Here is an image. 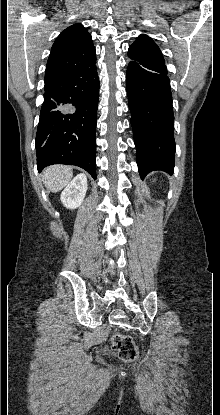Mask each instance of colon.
Returning a JSON list of instances; mask_svg holds the SVG:
<instances>
[{
  "instance_id": "1",
  "label": "colon",
  "mask_w": 220,
  "mask_h": 415,
  "mask_svg": "<svg viewBox=\"0 0 220 415\" xmlns=\"http://www.w3.org/2000/svg\"><path fill=\"white\" fill-rule=\"evenodd\" d=\"M112 349L123 361H134L137 358V348L131 337L115 332L111 336Z\"/></svg>"
}]
</instances>
